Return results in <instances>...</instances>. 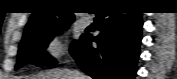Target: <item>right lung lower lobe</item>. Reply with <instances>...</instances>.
I'll use <instances>...</instances> for the list:
<instances>
[{
  "instance_id": "1",
  "label": "right lung lower lobe",
  "mask_w": 177,
  "mask_h": 79,
  "mask_svg": "<svg viewBox=\"0 0 177 79\" xmlns=\"http://www.w3.org/2000/svg\"><path fill=\"white\" fill-rule=\"evenodd\" d=\"M101 33L83 34L71 55L94 79H134L142 34V17L136 11H118L110 6L96 12ZM98 44L97 48L91 42Z\"/></svg>"
}]
</instances>
